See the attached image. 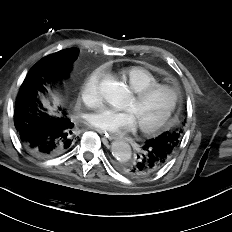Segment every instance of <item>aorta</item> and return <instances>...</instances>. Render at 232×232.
I'll list each match as a JSON object with an SVG mask.
<instances>
[{
    "mask_svg": "<svg viewBox=\"0 0 232 232\" xmlns=\"http://www.w3.org/2000/svg\"><path fill=\"white\" fill-rule=\"evenodd\" d=\"M100 90L104 99L116 109H123L129 98V90L126 86L113 79H105L100 84ZM112 155L119 161H127L131 158V147L124 140H116L111 144Z\"/></svg>",
    "mask_w": 232,
    "mask_h": 232,
    "instance_id": "1",
    "label": "aorta"
}]
</instances>
